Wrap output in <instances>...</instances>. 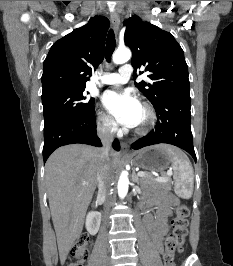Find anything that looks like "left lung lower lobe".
<instances>
[{
    "label": "left lung lower lobe",
    "mask_w": 233,
    "mask_h": 266,
    "mask_svg": "<svg viewBox=\"0 0 233 266\" xmlns=\"http://www.w3.org/2000/svg\"><path fill=\"white\" fill-rule=\"evenodd\" d=\"M190 92H184L166 97L155 106L157 125L146 136L138 139L131 148L167 143L187 151L196 161L191 133Z\"/></svg>",
    "instance_id": "obj_1"
}]
</instances>
